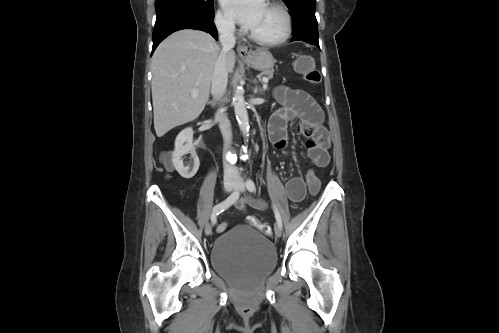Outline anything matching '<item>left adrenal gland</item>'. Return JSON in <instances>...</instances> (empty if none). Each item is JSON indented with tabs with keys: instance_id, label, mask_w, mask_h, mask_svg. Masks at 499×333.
<instances>
[{
	"instance_id": "a2214340",
	"label": "left adrenal gland",
	"mask_w": 499,
	"mask_h": 333,
	"mask_svg": "<svg viewBox=\"0 0 499 333\" xmlns=\"http://www.w3.org/2000/svg\"><path fill=\"white\" fill-rule=\"evenodd\" d=\"M254 92H255V93L257 92V88H255Z\"/></svg>"
}]
</instances>
